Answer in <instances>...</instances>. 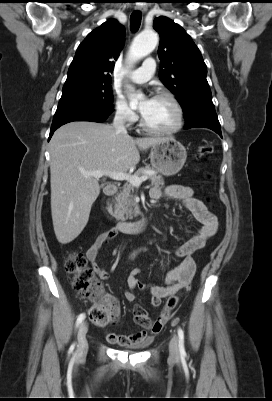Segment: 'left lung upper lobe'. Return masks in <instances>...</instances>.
Listing matches in <instances>:
<instances>
[{"instance_id": "1", "label": "left lung upper lobe", "mask_w": 272, "mask_h": 401, "mask_svg": "<svg viewBox=\"0 0 272 401\" xmlns=\"http://www.w3.org/2000/svg\"><path fill=\"white\" fill-rule=\"evenodd\" d=\"M153 27L160 34V80L175 94L184 118L203 111H215L206 80L207 67L191 37L180 25L164 16L156 18Z\"/></svg>"}]
</instances>
